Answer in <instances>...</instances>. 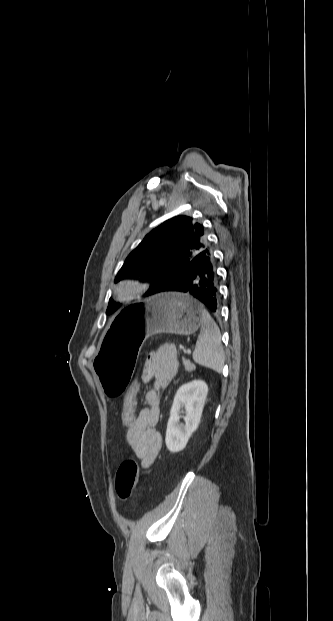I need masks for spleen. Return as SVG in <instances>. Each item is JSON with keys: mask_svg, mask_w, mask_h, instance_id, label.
Here are the masks:
<instances>
[{"mask_svg": "<svg viewBox=\"0 0 333 621\" xmlns=\"http://www.w3.org/2000/svg\"><path fill=\"white\" fill-rule=\"evenodd\" d=\"M193 360L204 367L221 373L224 366V350L221 344V334L217 324L210 314L205 311L201 331L193 352Z\"/></svg>", "mask_w": 333, "mask_h": 621, "instance_id": "obj_1", "label": "spleen"}]
</instances>
